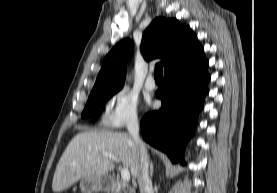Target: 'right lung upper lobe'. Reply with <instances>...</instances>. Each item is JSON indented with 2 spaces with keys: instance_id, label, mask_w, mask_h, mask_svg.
Segmentation results:
<instances>
[{
  "instance_id": "cb5924a9",
  "label": "right lung upper lobe",
  "mask_w": 277,
  "mask_h": 193,
  "mask_svg": "<svg viewBox=\"0 0 277 193\" xmlns=\"http://www.w3.org/2000/svg\"><path fill=\"white\" fill-rule=\"evenodd\" d=\"M130 39L119 42L105 57L91 94L118 91L124 84L126 65L133 52ZM202 47L189 26L177 19L155 18L143 34L141 53L145 60L161 58L165 72L191 57Z\"/></svg>"
}]
</instances>
